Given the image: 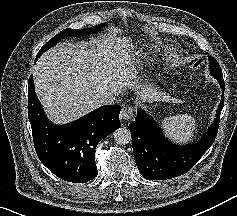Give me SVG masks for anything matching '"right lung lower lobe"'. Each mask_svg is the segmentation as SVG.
Listing matches in <instances>:
<instances>
[{"mask_svg":"<svg viewBox=\"0 0 237 216\" xmlns=\"http://www.w3.org/2000/svg\"><path fill=\"white\" fill-rule=\"evenodd\" d=\"M119 105H106L65 126L50 123L36 96L33 75L28 80V117L40 161L59 178L86 183L98 170L95 148L121 127Z\"/></svg>","mask_w":237,"mask_h":216,"instance_id":"1","label":"right lung lower lobe"}]
</instances>
